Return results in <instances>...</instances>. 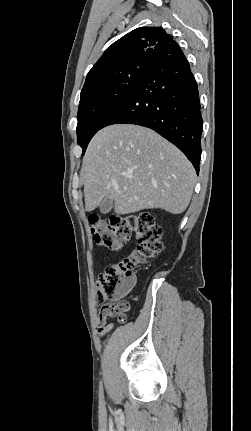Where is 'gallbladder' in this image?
I'll return each mask as SVG.
<instances>
[{
	"label": "gallbladder",
	"mask_w": 251,
	"mask_h": 431,
	"mask_svg": "<svg viewBox=\"0 0 251 431\" xmlns=\"http://www.w3.org/2000/svg\"><path fill=\"white\" fill-rule=\"evenodd\" d=\"M112 207H113V200L110 197H106L100 204V211L103 214H107L111 211Z\"/></svg>",
	"instance_id": "obj_1"
}]
</instances>
